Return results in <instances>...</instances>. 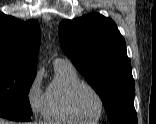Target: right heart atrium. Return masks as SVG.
Returning <instances> with one entry per match:
<instances>
[{
    "instance_id": "d8ad5b80",
    "label": "right heart atrium",
    "mask_w": 156,
    "mask_h": 124,
    "mask_svg": "<svg viewBox=\"0 0 156 124\" xmlns=\"http://www.w3.org/2000/svg\"><path fill=\"white\" fill-rule=\"evenodd\" d=\"M42 72L38 70L26 90V100L35 116L44 115L45 91L42 87Z\"/></svg>"
}]
</instances>
